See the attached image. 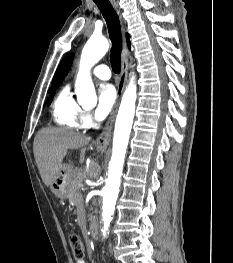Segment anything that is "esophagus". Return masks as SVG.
Masks as SVG:
<instances>
[{"instance_id":"esophagus-1","label":"esophagus","mask_w":233,"mask_h":263,"mask_svg":"<svg viewBox=\"0 0 233 263\" xmlns=\"http://www.w3.org/2000/svg\"><path fill=\"white\" fill-rule=\"evenodd\" d=\"M112 4L114 8L116 9L117 13L120 15V11L118 10L116 3L112 1ZM120 19H121V16H120ZM121 23H122V29L124 31L122 19H121ZM127 55H128L127 43H126L125 37H123L121 73H120L118 86H117V98L118 99H117V102L114 108L111 111V114L103 128L102 133L98 136L96 140V145L98 148H106L109 145L110 140H111L113 124H114L117 108H118L120 98L122 96V93L124 91V88L127 82V75H128Z\"/></svg>"}]
</instances>
